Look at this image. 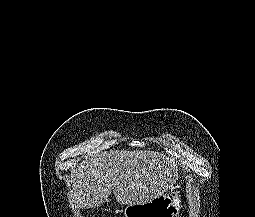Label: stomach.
<instances>
[{
  "label": "stomach",
  "instance_id": "0dacf381",
  "mask_svg": "<svg viewBox=\"0 0 255 217\" xmlns=\"http://www.w3.org/2000/svg\"><path fill=\"white\" fill-rule=\"evenodd\" d=\"M178 192L170 191L144 204L127 205L124 208L125 217H178L181 198Z\"/></svg>",
  "mask_w": 255,
  "mask_h": 217
}]
</instances>
